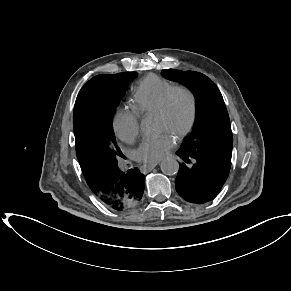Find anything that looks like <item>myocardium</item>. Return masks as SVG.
<instances>
[{
  "instance_id": "f54148a6",
  "label": "myocardium",
  "mask_w": 291,
  "mask_h": 291,
  "mask_svg": "<svg viewBox=\"0 0 291 291\" xmlns=\"http://www.w3.org/2000/svg\"><path fill=\"white\" fill-rule=\"evenodd\" d=\"M178 96H184L186 98L189 109V116L185 125L172 131L177 139H182L193 131L198 118L197 98L189 87L183 85L174 86L167 94L162 106L156 112V115L166 121H170L177 106Z\"/></svg>"
}]
</instances>
